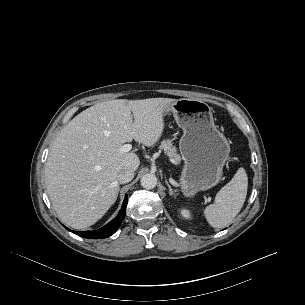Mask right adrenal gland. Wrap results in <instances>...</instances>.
I'll return each instance as SVG.
<instances>
[{
	"label": "right adrenal gland",
	"instance_id": "right-adrenal-gland-1",
	"mask_svg": "<svg viewBox=\"0 0 305 305\" xmlns=\"http://www.w3.org/2000/svg\"><path fill=\"white\" fill-rule=\"evenodd\" d=\"M119 190H120V188H118V191H117V196H118Z\"/></svg>",
	"mask_w": 305,
	"mask_h": 305
}]
</instances>
